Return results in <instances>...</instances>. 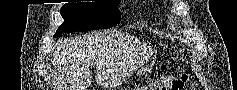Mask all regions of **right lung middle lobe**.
<instances>
[{
  "mask_svg": "<svg viewBox=\"0 0 237 90\" xmlns=\"http://www.w3.org/2000/svg\"><path fill=\"white\" fill-rule=\"evenodd\" d=\"M119 0H100L95 2L67 3L60 13L64 22L57 29L54 37L64 32L89 31L110 28L120 20L117 10Z\"/></svg>",
  "mask_w": 237,
  "mask_h": 90,
  "instance_id": "1",
  "label": "right lung middle lobe"
}]
</instances>
